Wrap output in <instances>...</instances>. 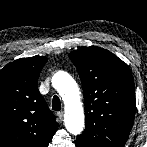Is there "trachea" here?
<instances>
[{"label": "trachea", "instance_id": "1", "mask_svg": "<svg viewBox=\"0 0 147 147\" xmlns=\"http://www.w3.org/2000/svg\"><path fill=\"white\" fill-rule=\"evenodd\" d=\"M53 106L52 109L55 111L61 110V102L58 96H54L52 100Z\"/></svg>", "mask_w": 147, "mask_h": 147}]
</instances>
